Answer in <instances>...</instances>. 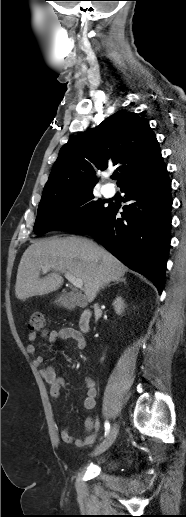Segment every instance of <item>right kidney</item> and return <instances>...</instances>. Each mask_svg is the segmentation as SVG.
Instances as JSON below:
<instances>
[{"instance_id": "ca27d5eb", "label": "right kidney", "mask_w": 186, "mask_h": 517, "mask_svg": "<svg viewBox=\"0 0 186 517\" xmlns=\"http://www.w3.org/2000/svg\"><path fill=\"white\" fill-rule=\"evenodd\" d=\"M113 306H114V309H115V312L118 314V315H121L123 310H124V301L122 300L121 297H117L114 302H113Z\"/></svg>"}]
</instances>
